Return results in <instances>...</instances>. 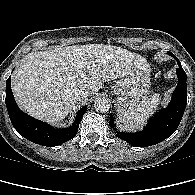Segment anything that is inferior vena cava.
<instances>
[{"label": "inferior vena cava", "mask_w": 195, "mask_h": 195, "mask_svg": "<svg viewBox=\"0 0 195 195\" xmlns=\"http://www.w3.org/2000/svg\"><path fill=\"white\" fill-rule=\"evenodd\" d=\"M73 95L77 100H81L88 97L90 95V91L85 87H80L73 91Z\"/></svg>", "instance_id": "1"}]
</instances>
